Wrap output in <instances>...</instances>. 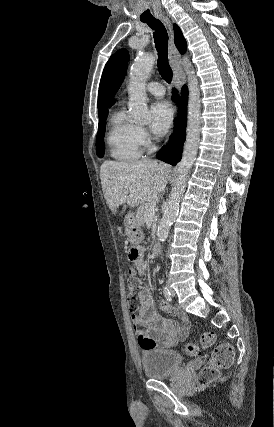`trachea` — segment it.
I'll use <instances>...</instances> for the list:
<instances>
[{
    "instance_id": "obj_1",
    "label": "trachea",
    "mask_w": 274,
    "mask_h": 427,
    "mask_svg": "<svg viewBox=\"0 0 274 427\" xmlns=\"http://www.w3.org/2000/svg\"><path fill=\"white\" fill-rule=\"evenodd\" d=\"M143 23H147V25L154 30V42L158 52V71L161 77L167 83H170L172 80V70L168 63L167 56V46L169 39L167 30L163 23H161L160 20H157L156 18L143 20Z\"/></svg>"
}]
</instances>
